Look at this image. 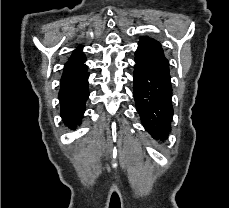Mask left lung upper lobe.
Segmentation results:
<instances>
[{"instance_id":"1","label":"left lung upper lobe","mask_w":229,"mask_h":208,"mask_svg":"<svg viewBox=\"0 0 229 208\" xmlns=\"http://www.w3.org/2000/svg\"><path fill=\"white\" fill-rule=\"evenodd\" d=\"M139 39L135 60L144 63L157 79L171 84L169 63L163 54L161 44L148 36H141Z\"/></svg>"}]
</instances>
